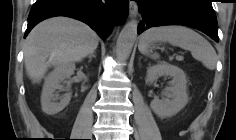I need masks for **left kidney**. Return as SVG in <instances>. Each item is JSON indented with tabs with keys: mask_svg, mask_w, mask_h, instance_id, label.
I'll return each mask as SVG.
<instances>
[{
	"mask_svg": "<svg viewBox=\"0 0 236 140\" xmlns=\"http://www.w3.org/2000/svg\"><path fill=\"white\" fill-rule=\"evenodd\" d=\"M161 76H170L172 81L170 86L167 87L169 97L171 99L160 100L155 97L150 107L152 111L159 117H170L181 111L188 102L187 79L183 70L179 67L162 62L157 65L150 66L147 69L146 83H153Z\"/></svg>",
	"mask_w": 236,
	"mask_h": 140,
	"instance_id": "left-kidney-1",
	"label": "left kidney"
}]
</instances>
